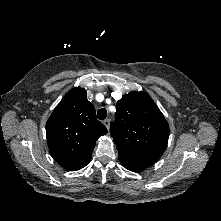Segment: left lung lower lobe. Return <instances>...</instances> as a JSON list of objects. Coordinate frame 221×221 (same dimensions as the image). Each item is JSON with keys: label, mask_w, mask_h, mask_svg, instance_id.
<instances>
[{"label": "left lung lower lobe", "mask_w": 221, "mask_h": 221, "mask_svg": "<svg viewBox=\"0 0 221 221\" xmlns=\"http://www.w3.org/2000/svg\"><path fill=\"white\" fill-rule=\"evenodd\" d=\"M121 164H122L126 169H128V170H130V171H134V172L139 171L138 169H136L135 167H133V166H131V165H129V164L122 163V162H121Z\"/></svg>", "instance_id": "left-lung-lower-lobe-1"}]
</instances>
